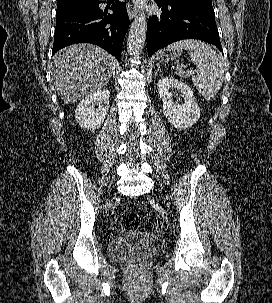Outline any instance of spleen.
I'll return each mask as SVG.
<instances>
[{"label":"spleen","mask_w":272,"mask_h":303,"mask_svg":"<svg viewBox=\"0 0 272 303\" xmlns=\"http://www.w3.org/2000/svg\"><path fill=\"white\" fill-rule=\"evenodd\" d=\"M183 48L189 51L190 59L199 73L194 75V71L184 72L178 69V74L191 77L204 99L207 101L214 99L224 80L223 59L208 44L195 39L182 40L168 47L170 50Z\"/></svg>","instance_id":"3e777b00"}]
</instances>
